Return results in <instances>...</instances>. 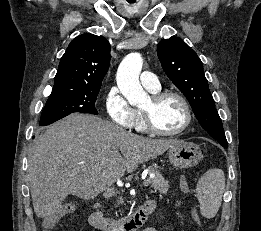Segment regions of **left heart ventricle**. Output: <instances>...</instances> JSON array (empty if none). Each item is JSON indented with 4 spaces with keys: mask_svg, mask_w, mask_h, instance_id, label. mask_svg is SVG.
Listing matches in <instances>:
<instances>
[{
    "mask_svg": "<svg viewBox=\"0 0 261 231\" xmlns=\"http://www.w3.org/2000/svg\"><path fill=\"white\" fill-rule=\"evenodd\" d=\"M142 109L152 110L155 124L163 131H175L185 121L183 106L178 99L173 97L163 100L156 106H153L149 98Z\"/></svg>",
    "mask_w": 261,
    "mask_h": 231,
    "instance_id": "left-heart-ventricle-1",
    "label": "left heart ventricle"
}]
</instances>
